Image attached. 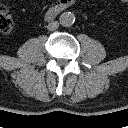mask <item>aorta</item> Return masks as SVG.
<instances>
[{"mask_svg":"<svg viewBox=\"0 0 128 128\" xmlns=\"http://www.w3.org/2000/svg\"><path fill=\"white\" fill-rule=\"evenodd\" d=\"M75 22V16L71 12H64L59 17V23L63 27H70Z\"/></svg>","mask_w":128,"mask_h":128,"instance_id":"obj_1","label":"aorta"}]
</instances>
